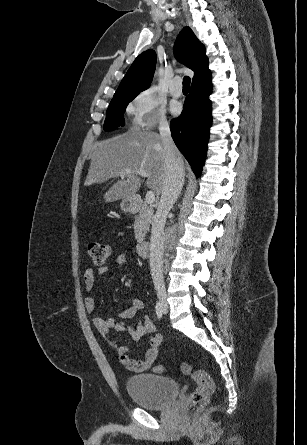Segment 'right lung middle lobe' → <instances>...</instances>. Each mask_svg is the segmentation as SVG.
Here are the masks:
<instances>
[{
  "mask_svg": "<svg viewBox=\"0 0 307 445\" xmlns=\"http://www.w3.org/2000/svg\"><path fill=\"white\" fill-rule=\"evenodd\" d=\"M134 98L135 97H127L110 102L104 123L105 131H111L116 129L118 126L124 125L123 113L125 112L128 103Z\"/></svg>",
  "mask_w": 307,
  "mask_h": 445,
  "instance_id": "obj_1",
  "label": "right lung middle lobe"
}]
</instances>
